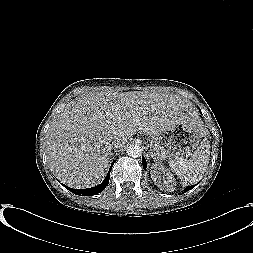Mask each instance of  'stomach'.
Listing matches in <instances>:
<instances>
[{"label":"stomach","instance_id":"obj_1","mask_svg":"<svg viewBox=\"0 0 253 253\" xmlns=\"http://www.w3.org/2000/svg\"><path fill=\"white\" fill-rule=\"evenodd\" d=\"M203 136V132L190 122H178L148 139L150 152L157 160L183 157L199 145Z\"/></svg>","mask_w":253,"mask_h":253}]
</instances>
